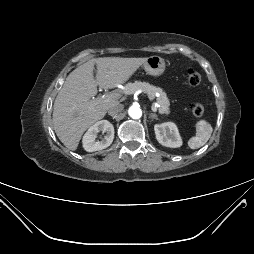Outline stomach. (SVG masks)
<instances>
[{"mask_svg": "<svg viewBox=\"0 0 254 254\" xmlns=\"http://www.w3.org/2000/svg\"><path fill=\"white\" fill-rule=\"evenodd\" d=\"M142 68L151 76H160L165 71V61L159 56H150L142 64Z\"/></svg>", "mask_w": 254, "mask_h": 254, "instance_id": "stomach-1", "label": "stomach"}]
</instances>
